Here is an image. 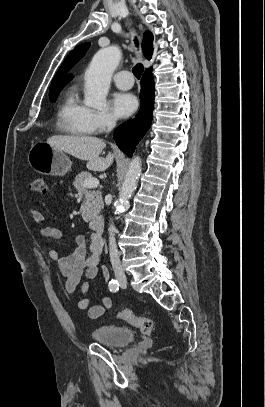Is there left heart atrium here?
<instances>
[{"label":"left heart atrium","mask_w":265,"mask_h":407,"mask_svg":"<svg viewBox=\"0 0 265 407\" xmlns=\"http://www.w3.org/2000/svg\"><path fill=\"white\" fill-rule=\"evenodd\" d=\"M138 102L130 93H116L112 99V107L119 117H128L137 109Z\"/></svg>","instance_id":"1"}]
</instances>
